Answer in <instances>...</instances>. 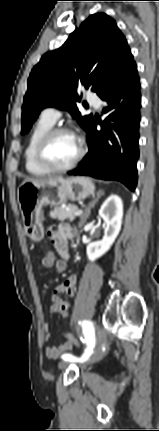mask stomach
Wrapping results in <instances>:
<instances>
[{
	"mask_svg": "<svg viewBox=\"0 0 159 431\" xmlns=\"http://www.w3.org/2000/svg\"><path fill=\"white\" fill-rule=\"evenodd\" d=\"M94 192V184L86 177H58L43 184L23 182L17 196L26 235L33 241L43 239L44 205L59 206L68 200H83Z\"/></svg>",
	"mask_w": 159,
	"mask_h": 431,
	"instance_id": "obj_1",
	"label": "stomach"
}]
</instances>
